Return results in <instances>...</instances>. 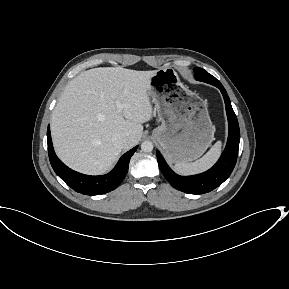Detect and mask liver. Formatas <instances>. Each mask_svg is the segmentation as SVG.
I'll use <instances>...</instances> for the list:
<instances>
[{"mask_svg": "<svg viewBox=\"0 0 289 289\" xmlns=\"http://www.w3.org/2000/svg\"><path fill=\"white\" fill-rule=\"evenodd\" d=\"M155 72L100 67L71 80L51 118L58 157L85 174L110 170L123 149L138 144L142 124L152 119L148 91ZM123 136L128 141L122 147L117 140Z\"/></svg>", "mask_w": 289, "mask_h": 289, "instance_id": "obj_1", "label": "liver"}]
</instances>
